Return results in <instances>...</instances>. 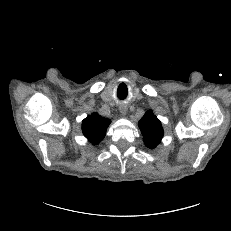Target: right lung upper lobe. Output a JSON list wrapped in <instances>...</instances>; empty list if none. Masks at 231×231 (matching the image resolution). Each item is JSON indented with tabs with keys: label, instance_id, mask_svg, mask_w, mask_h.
Returning a JSON list of instances; mask_svg holds the SVG:
<instances>
[{
	"label": "right lung upper lobe",
	"instance_id": "1",
	"mask_svg": "<svg viewBox=\"0 0 231 231\" xmlns=\"http://www.w3.org/2000/svg\"><path fill=\"white\" fill-rule=\"evenodd\" d=\"M110 122L109 119L101 117L98 113H93L83 120V134L92 144H98L104 138Z\"/></svg>",
	"mask_w": 231,
	"mask_h": 231
}]
</instances>
